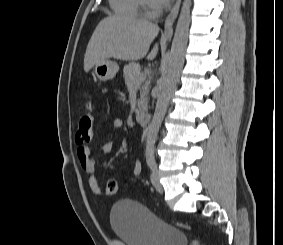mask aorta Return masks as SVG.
Returning <instances> with one entry per match:
<instances>
[{"mask_svg": "<svg viewBox=\"0 0 283 245\" xmlns=\"http://www.w3.org/2000/svg\"><path fill=\"white\" fill-rule=\"evenodd\" d=\"M191 0H184L177 21L171 51L162 75L154 115L148 126L146 150L153 151L157 134L166 114L172 90L183 67L190 26Z\"/></svg>", "mask_w": 283, "mask_h": 245, "instance_id": "obj_1", "label": "aorta"}]
</instances>
